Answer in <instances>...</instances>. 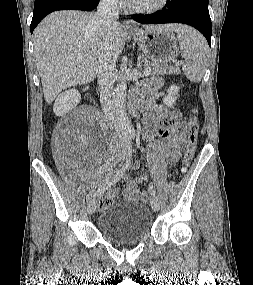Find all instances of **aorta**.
<instances>
[{
  "label": "aorta",
  "mask_w": 253,
  "mask_h": 285,
  "mask_svg": "<svg viewBox=\"0 0 253 285\" xmlns=\"http://www.w3.org/2000/svg\"><path fill=\"white\" fill-rule=\"evenodd\" d=\"M126 93L127 83L123 78L118 82L113 95L115 120L123 134L131 135L134 133V129L125 111Z\"/></svg>",
  "instance_id": "obj_1"
}]
</instances>
